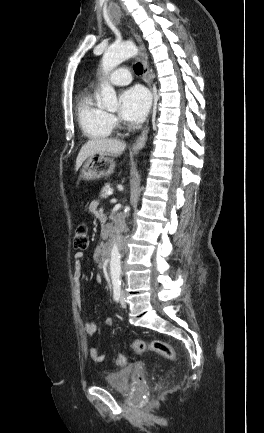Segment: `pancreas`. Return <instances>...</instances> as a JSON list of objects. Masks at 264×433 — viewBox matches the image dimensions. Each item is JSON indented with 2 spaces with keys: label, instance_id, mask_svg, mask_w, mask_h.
<instances>
[{
  "label": "pancreas",
  "instance_id": "1",
  "mask_svg": "<svg viewBox=\"0 0 264 433\" xmlns=\"http://www.w3.org/2000/svg\"><path fill=\"white\" fill-rule=\"evenodd\" d=\"M109 189H111V188H110V183H106V184L104 185V187L102 188V190H101V192H100V195H99V197H100L102 200H104V199H106V198L108 197L107 191H108Z\"/></svg>",
  "mask_w": 264,
  "mask_h": 433
}]
</instances>
